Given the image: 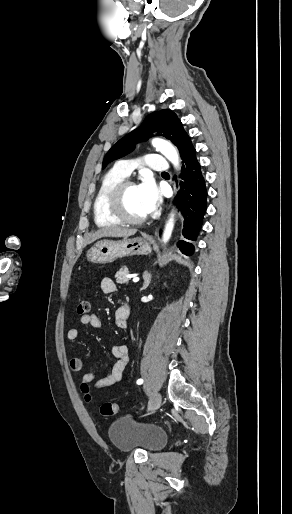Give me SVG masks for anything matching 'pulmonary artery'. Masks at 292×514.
<instances>
[{
    "label": "pulmonary artery",
    "mask_w": 292,
    "mask_h": 514,
    "mask_svg": "<svg viewBox=\"0 0 292 514\" xmlns=\"http://www.w3.org/2000/svg\"><path fill=\"white\" fill-rule=\"evenodd\" d=\"M141 158L138 160L137 158H131L128 163V159L126 157H121L119 162L116 164V171L123 177L127 178L130 176L132 172L133 165H137L139 170H142L145 167L149 171L152 172H166L169 169V164L166 162V158L164 156H157L154 151H151L149 154L139 155Z\"/></svg>",
    "instance_id": "pulmonary-artery-1"
}]
</instances>
